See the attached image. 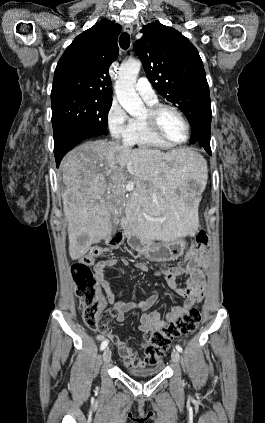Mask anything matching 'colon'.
Instances as JSON below:
<instances>
[{
  "label": "colon",
  "instance_id": "1",
  "mask_svg": "<svg viewBox=\"0 0 265 423\" xmlns=\"http://www.w3.org/2000/svg\"><path fill=\"white\" fill-rule=\"evenodd\" d=\"M122 232L115 233L104 244L91 248L81 259L71 265L70 272L76 283V295L81 299L84 310L83 320L92 330L110 334L109 323L113 317L111 311L106 310V303L97 289V278L91 269L95 260L110 248L123 243ZM208 236L205 232L198 233L196 242L189 249L185 260L193 259L201 253L207 245ZM201 321V313L197 307L178 317L161 330L153 333L151 342L144 349V358L136 367L156 366L163 354L169 349L171 342L184 335L192 333Z\"/></svg>",
  "mask_w": 265,
  "mask_h": 423
}]
</instances>
